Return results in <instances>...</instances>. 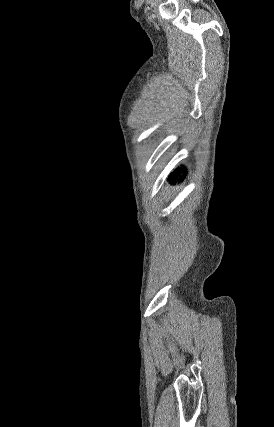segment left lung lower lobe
Instances as JSON below:
<instances>
[{
    "label": "left lung lower lobe",
    "instance_id": "1",
    "mask_svg": "<svg viewBox=\"0 0 274 427\" xmlns=\"http://www.w3.org/2000/svg\"><path fill=\"white\" fill-rule=\"evenodd\" d=\"M183 172V170L182 169H180L179 170V172L178 171H176V172H174V173H172L171 175H170V178H172V182H174V181H176L177 180V176H179L180 175V173H182ZM181 178H183V176H181L180 177V179Z\"/></svg>",
    "mask_w": 274,
    "mask_h": 427
}]
</instances>
